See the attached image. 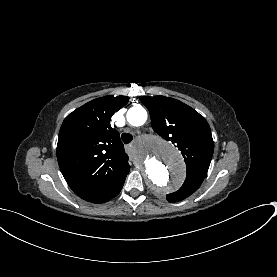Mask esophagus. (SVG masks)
I'll return each instance as SVG.
<instances>
[{
  "label": "esophagus",
  "instance_id": "obj_1",
  "mask_svg": "<svg viewBox=\"0 0 277 277\" xmlns=\"http://www.w3.org/2000/svg\"><path fill=\"white\" fill-rule=\"evenodd\" d=\"M139 168L141 169L142 168V165L141 164H138Z\"/></svg>",
  "mask_w": 277,
  "mask_h": 277
}]
</instances>
